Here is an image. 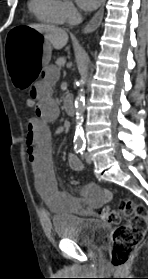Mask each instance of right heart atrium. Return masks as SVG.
<instances>
[{"mask_svg": "<svg viewBox=\"0 0 148 279\" xmlns=\"http://www.w3.org/2000/svg\"><path fill=\"white\" fill-rule=\"evenodd\" d=\"M61 10L67 22H73L79 17L76 7L70 1H62Z\"/></svg>", "mask_w": 148, "mask_h": 279, "instance_id": "1", "label": "right heart atrium"}]
</instances>
